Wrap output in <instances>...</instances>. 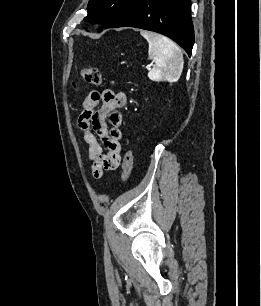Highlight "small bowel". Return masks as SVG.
Here are the masks:
<instances>
[{"label":"small bowel","mask_w":261,"mask_h":306,"mask_svg":"<svg viewBox=\"0 0 261 306\" xmlns=\"http://www.w3.org/2000/svg\"><path fill=\"white\" fill-rule=\"evenodd\" d=\"M123 92H92L85 98L78 125L88 145L92 174L102 178L105 171L115 170L121 162L122 123L120 110L126 105Z\"/></svg>","instance_id":"obj_1"}]
</instances>
